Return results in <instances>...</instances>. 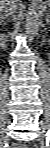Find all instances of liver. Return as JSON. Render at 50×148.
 Wrapping results in <instances>:
<instances>
[{"instance_id": "6515ba94", "label": "liver", "mask_w": 50, "mask_h": 148, "mask_svg": "<svg viewBox=\"0 0 50 148\" xmlns=\"http://www.w3.org/2000/svg\"><path fill=\"white\" fill-rule=\"evenodd\" d=\"M0 3H1V11H2V5L5 4V0H1Z\"/></svg>"}]
</instances>
